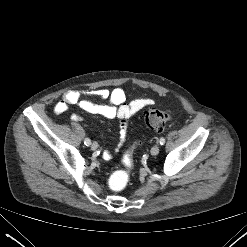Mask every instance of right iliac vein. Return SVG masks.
<instances>
[{
    "mask_svg": "<svg viewBox=\"0 0 247 247\" xmlns=\"http://www.w3.org/2000/svg\"><path fill=\"white\" fill-rule=\"evenodd\" d=\"M97 148H98V144H97L96 142H93V143L91 144V149H92L93 151H95V150H97Z\"/></svg>",
    "mask_w": 247,
    "mask_h": 247,
    "instance_id": "1",
    "label": "right iliac vein"
}]
</instances>
